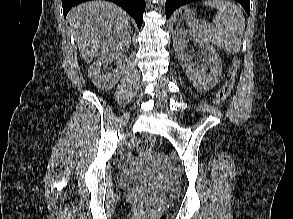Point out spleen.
<instances>
[{"label":"spleen","instance_id":"1","mask_svg":"<svg viewBox=\"0 0 293 219\" xmlns=\"http://www.w3.org/2000/svg\"><path fill=\"white\" fill-rule=\"evenodd\" d=\"M216 8L213 18L216 27L208 23L188 22L190 30L198 37L211 42L219 48L233 54L239 52L245 31V18L240 7L229 0H208L203 3Z\"/></svg>","mask_w":293,"mask_h":219}]
</instances>
